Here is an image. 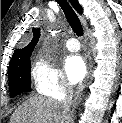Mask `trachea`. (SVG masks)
<instances>
[{"label":"trachea","instance_id":"trachea-1","mask_svg":"<svg viewBox=\"0 0 122 123\" xmlns=\"http://www.w3.org/2000/svg\"><path fill=\"white\" fill-rule=\"evenodd\" d=\"M58 4L61 6L70 26L72 27L74 33L78 36L83 35V27L81 25V22L70 6V4L67 2V0H57Z\"/></svg>","mask_w":122,"mask_h":123}]
</instances>
